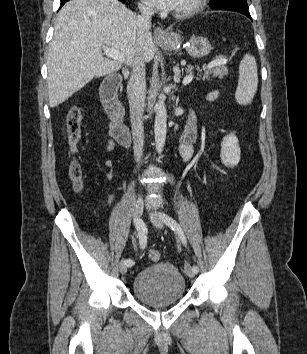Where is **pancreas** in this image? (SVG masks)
<instances>
[{
	"instance_id": "1",
	"label": "pancreas",
	"mask_w": 307,
	"mask_h": 354,
	"mask_svg": "<svg viewBox=\"0 0 307 354\" xmlns=\"http://www.w3.org/2000/svg\"><path fill=\"white\" fill-rule=\"evenodd\" d=\"M211 63L203 67V73L199 75V78H197L198 80H210L211 77H218L222 79L224 76L228 75L227 67L224 64L210 66ZM193 68L194 67L192 65H188L187 68H185L186 73H192ZM197 70L200 72L202 71L200 70V67H197Z\"/></svg>"
}]
</instances>
